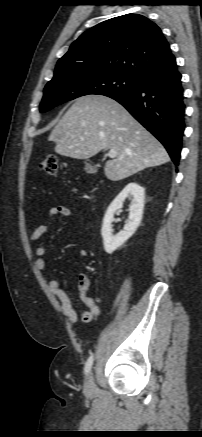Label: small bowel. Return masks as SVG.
Here are the masks:
<instances>
[{
    "mask_svg": "<svg viewBox=\"0 0 202 437\" xmlns=\"http://www.w3.org/2000/svg\"><path fill=\"white\" fill-rule=\"evenodd\" d=\"M48 221L42 225L37 226L31 233L29 240L31 242L37 241L45 233L48 232L51 223L56 219L57 216H62L65 218H70L72 216V211L69 207L64 205L51 206L48 210ZM86 230L88 227L86 226ZM47 252L46 246H39L34 250L35 262L34 265L39 271L44 270L46 266L45 254ZM88 250L85 248L80 249V255L86 256ZM47 287L50 292L59 300L61 304V309L64 315L67 317L71 324H76L78 322V314L73 307L72 301L69 295L60 287V283L55 279H47ZM89 287V281L87 277L81 276L79 280V291L80 299L87 307V310L82 312L81 320L84 323H89L94 317L100 314V308L97 305V300L95 298L87 296V290Z\"/></svg>",
    "mask_w": 202,
    "mask_h": 437,
    "instance_id": "1",
    "label": "small bowel"
}]
</instances>
